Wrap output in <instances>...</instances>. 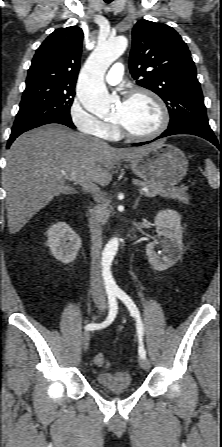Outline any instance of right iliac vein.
<instances>
[{
  "instance_id": "obj_1",
  "label": "right iliac vein",
  "mask_w": 222,
  "mask_h": 447,
  "mask_svg": "<svg viewBox=\"0 0 222 447\" xmlns=\"http://www.w3.org/2000/svg\"><path fill=\"white\" fill-rule=\"evenodd\" d=\"M90 337H91V334H90L89 331H85L82 334V337H81L82 338V347H83L84 350L88 349V346L90 344Z\"/></svg>"
}]
</instances>
